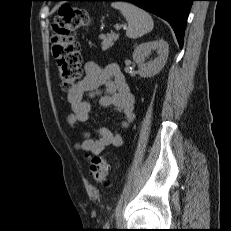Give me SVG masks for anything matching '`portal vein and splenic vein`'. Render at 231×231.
<instances>
[{"mask_svg": "<svg viewBox=\"0 0 231 231\" xmlns=\"http://www.w3.org/2000/svg\"><path fill=\"white\" fill-rule=\"evenodd\" d=\"M116 30L119 31L121 28L126 29V25H116L115 26Z\"/></svg>", "mask_w": 231, "mask_h": 231, "instance_id": "1", "label": "portal vein and splenic vein"}]
</instances>
